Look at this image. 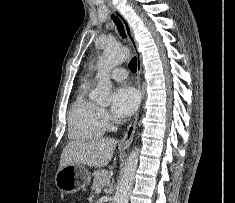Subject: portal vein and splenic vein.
<instances>
[{"label":"portal vein and splenic vein","instance_id":"portal-vein-and-splenic-vein-1","mask_svg":"<svg viewBox=\"0 0 235 203\" xmlns=\"http://www.w3.org/2000/svg\"><path fill=\"white\" fill-rule=\"evenodd\" d=\"M95 192H96L97 194H99V193L101 192V189H100V188H97V189L95 190Z\"/></svg>","mask_w":235,"mask_h":203}]
</instances>
